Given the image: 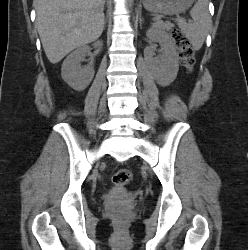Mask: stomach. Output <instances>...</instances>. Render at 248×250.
<instances>
[{
	"label": "stomach",
	"instance_id": "obj_1",
	"mask_svg": "<svg viewBox=\"0 0 248 250\" xmlns=\"http://www.w3.org/2000/svg\"><path fill=\"white\" fill-rule=\"evenodd\" d=\"M194 0H143L145 9L155 13L179 14L186 11Z\"/></svg>",
	"mask_w": 248,
	"mask_h": 250
}]
</instances>
